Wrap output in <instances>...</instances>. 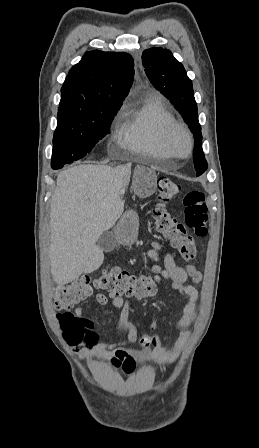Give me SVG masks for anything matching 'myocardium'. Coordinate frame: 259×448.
<instances>
[{
    "label": "myocardium",
    "instance_id": "obj_1",
    "mask_svg": "<svg viewBox=\"0 0 259 448\" xmlns=\"http://www.w3.org/2000/svg\"><path fill=\"white\" fill-rule=\"evenodd\" d=\"M176 131H180L183 133L187 140V155L186 160L191 159L193 157V149H194V139L192 132L188 128V126L182 122H179L177 120H173L168 122L161 130L160 133V142L162 145V148L165 150H171L173 149L172 146V136ZM143 159L145 163H156L153 160H151L149 157L146 156V154H143Z\"/></svg>",
    "mask_w": 259,
    "mask_h": 448
}]
</instances>
